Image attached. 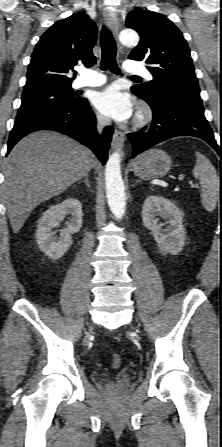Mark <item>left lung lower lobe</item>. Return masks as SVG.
Listing matches in <instances>:
<instances>
[{
    "label": "left lung lower lobe",
    "mask_w": 222,
    "mask_h": 447,
    "mask_svg": "<svg viewBox=\"0 0 222 447\" xmlns=\"http://www.w3.org/2000/svg\"><path fill=\"white\" fill-rule=\"evenodd\" d=\"M148 104L153 111L152 124L128 134L133 145L132 158L155 144L176 136L201 138L222 158V145L218 146L214 139L202 104L176 94L165 95L158 102Z\"/></svg>",
    "instance_id": "obj_1"
}]
</instances>
